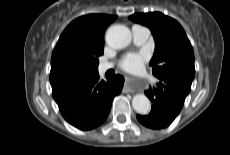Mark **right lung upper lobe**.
Returning <instances> with one entry per match:
<instances>
[{"instance_id": "cb5924a9", "label": "right lung upper lobe", "mask_w": 230, "mask_h": 155, "mask_svg": "<svg viewBox=\"0 0 230 155\" xmlns=\"http://www.w3.org/2000/svg\"><path fill=\"white\" fill-rule=\"evenodd\" d=\"M117 16L88 14L72 21L61 34L51 58L50 82L85 76L97 68L104 52V31Z\"/></svg>"}]
</instances>
